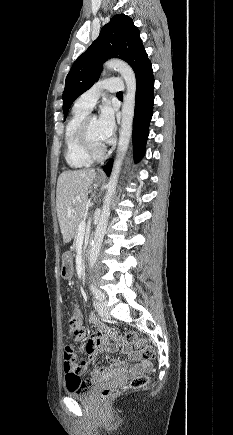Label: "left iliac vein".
I'll list each match as a JSON object with an SVG mask.
<instances>
[{
  "instance_id": "4c4485c4",
  "label": "left iliac vein",
  "mask_w": 233,
  "mask_h": 435,
  "mask_svg": "<svg viewBox=\"0 0 233 435\" xmlns=\"http://www.w3.org/2000/svg\"><path fill=\"white\" fill-rule=\"evenodd\" d=\"M96 310L101 318H103V319L109 318V311L106 307L105 301H101V300L97 301L96 302Z\"/></svg>"
}]
</instances>
